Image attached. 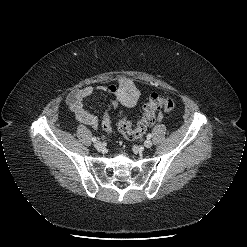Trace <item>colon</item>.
I'll return each mask as SVG.
<instances>
[{"label": "colon", "mask_w": 247, "mask_h": 247, "mask_svg": "<svg viewBox=\"0 0 247 247\" xmlns=\"http://www.w3.org/2000/svg\"><path fill=\"white\" fill-rule=\"evenodd\" d=\"M116 102L112 103L111 108H115ZM174 108V101L170 97L152 94L148 102L143 106V114L135 127L132 126L127 116H123L118 123V129L122 135L128 140H135L141 138L148 127L152 126L157 119V113L160 111L169 112ZM102 128L105 132L112 131L111 118L109 113L103 118Z\"/></svg>", "instance_id": "5ec220e1"}]
</instances>
